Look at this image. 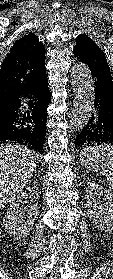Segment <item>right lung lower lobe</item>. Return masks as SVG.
Instances as JSON below:
<instances>
[{
  "label": "right lung lower lobe",
  "instance_id": "98d812e1",
  "mask_svg": "<svg viewBox=\"0 0 113 279\" xmlns=\"http://www.w3.org/2000/svg\"><path fill=\"white\" fill-rule=\"evenodd\" d=\"M50 96L47 74H44L20 97L27 100V110H19L22 100L18 98L9 116L0 121V143L17 142L41 153Z\"/></svg>",
  "mask_w": 113,
  "mask_h": 279
}]
</instances>
